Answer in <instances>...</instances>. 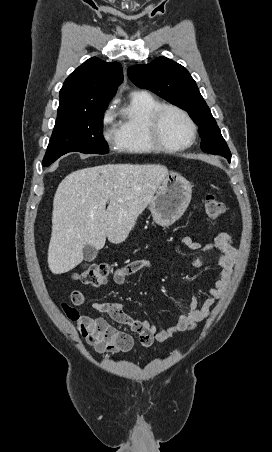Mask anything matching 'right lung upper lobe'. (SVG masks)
Masks as SVG:
<instances>
[{
    "label": "right lung upper lobe",
    "instance_id": "right-lung-upper-lobe-1",
    "mask_svg": "<svg viewBox=\"0 0 272 452\" xmlns=\"http://www.w3.org/2000/svg\"><path fill=\"white\" fill-rule=\"evenodd\" d=\"M123 80L122 66L92 57L65 80L60 90L57 117L82 114L107 107Z\"/></svg>",
    "mask_w": 272,
    "mask_h": 452
}]
</instances>
